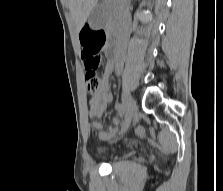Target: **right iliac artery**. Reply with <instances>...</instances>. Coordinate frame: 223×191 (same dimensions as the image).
Listing matches in <instances>:
<instances>
[{
	"instance_id": "right-iliac-artery-1",
	"label": "right iliac artery",
	"mask_w": 223,
	"mask_h": 191,
	"mask_svg": "<svg viewBox=\"0 0 223 191\" xmlns=\"http://www.w3.org/2000/svg\"><path fill=\"white\" fill-rule=\"evenodd\" d=\"M117 109L120 112V114H123L125 112V105H124V103H119L117 105Z\"/></svg>"
}]
</instances>
